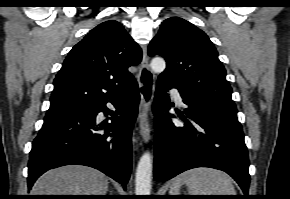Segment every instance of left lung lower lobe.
<instances>
[{
    "label": "left lung lower lobe",
    "mask_w": 290,
    "mask_h": 199,
    "mask_svg": "<svg viewBox=\"0 0 290 199\" xmlns=\"http://www.w3.org/2000/svg\"><path fill=\"white\" fill-rule=\"evenodd\" d=\"M171 88L176 87L158 78L154 178L166 181L188 169L211 167L231 175L247 198L249 159L236 106L179 91L187 108L178 113L184 123L175 124L169 114H159L170 109Z\"/></svg>",
    "instance_id": "obj_1"
}]
</instances>
